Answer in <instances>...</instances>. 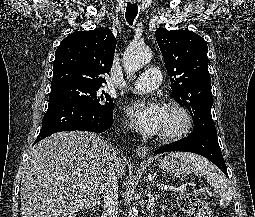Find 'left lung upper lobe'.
I'll return each instance as SVG.
<instances>
[{"mask_svg": "<svg viewBox=\"0 0 255 217\" xmlns=\"http://www.w3.org/2000/svg\"><path fill=\"white\" fill-rule=\"evenodd\" d=\"M155 36L170 76L174 100L189 110L194 129L215 126L204 38L187 29L168 31L163 27L156 30Z\"/></svg>", "mask_w": 255, "mask_h": 217, "instance_id": "1", "label": "left lung upper lobe"}]
</instances>
